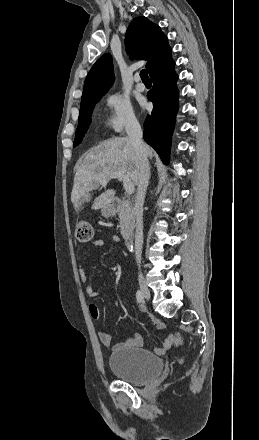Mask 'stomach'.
Listing matches in <instances>:
<instances>
[{"mask_svg": "<svg viewBox=\"0 0 259 440\" xmlns=\"http://www.w3.org/2000/svg\"><path fill=\"white\" fill-rule=\"evenodd\" d=\"M101 213L105 218H108V217L113 216L115 211H114V208L111 207V205L109 204V205L102 208Z\"/></svg>", "mask_w": 259, "mask_h": 440, "instance_id": "0dacf381", "label": "stomach"}]
</instances>
